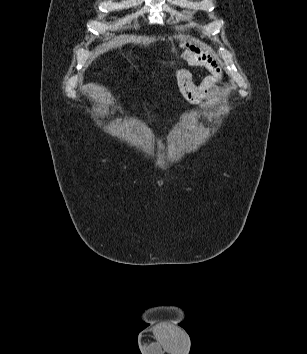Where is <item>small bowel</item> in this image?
Wrapping results in <instances>:
<instances>
[{"label":"small bowel","instance_id":"1","mask_svg":"<svg viewBox=\"0 0 307 354\" xmlns=\"http://www.w3.org/2000/svg\"><path fill=\"white\" fill-rule=\"evenodd\" d=\"M183 48L181 58L187 66L204 68L209 72L203 83L196 85L191 72L187 68L177 70L176 79L182 95L188 101L194 102L204 89H207L221 78V69L218 61L205 49L195 44H186Z\"/></svg>","mask_w":307,"mask_h":354}]
</instances>
